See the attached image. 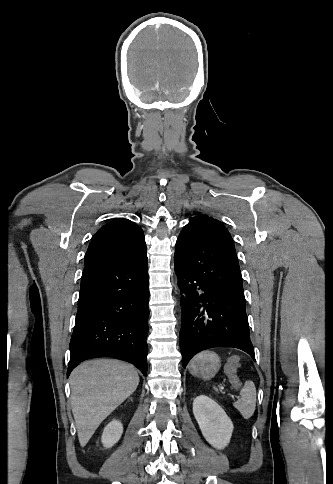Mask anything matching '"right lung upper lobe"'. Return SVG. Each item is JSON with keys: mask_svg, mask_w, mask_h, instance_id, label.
Wrapping results in <instances>:
<instances>
[{"mask_svg": "<svg viewBox=\"0 0 333 484\" xmlns=\"http://www.w3.org/2000/svg\"><path fill=\"white\" fill-rule=\"evenodd\" d=\"M145 249L143 230L128 219L117 218L93 236L85 254V265L128 259Z\"/></svg>", "mask_w": 333, "mask_h": 484, "instance_id": "obj_1", "label": "right lung upper lobe"}]
</instances>
